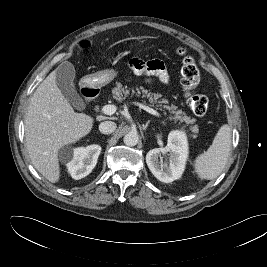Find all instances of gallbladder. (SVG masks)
Returning a JSON list of instances; mask_svg holds the SVG:
<instances>
[{
	"label": "gallbladder",
	"instance_id": "1",
	"mask_svg": "<svg viewBox=\"0 0 267 267\" xmlns=\"http://www.w3.org/2000/svg\"><path fill=\"white\" fill-rule=\"evenodd\" d=\"M56 83L63 96L77 110L82 111L86 104L76 90L74 84L75 68L72 63L64 61L55 69Z\"/></svg>",
	"mask_w": 267,
	"mask_h": 267
}]
</instances>
